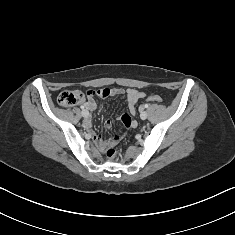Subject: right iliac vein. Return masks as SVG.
<instances>
[{"label":"right iliac vein","mask_w":235,"mask_h":235,"mask_svg":"<svg viewBox=\"0 0 235 235\" xmlns=\"http://www.w3.org/2000/svg\"><path fill=\"white\" fill-rule=\"evenodd\" d=\"M82 116H83L84 118H87V117H88V112H87V111H85L84 113L82 112Z\"/></svg>","instance_id":"obj_1"}]
</instances>
